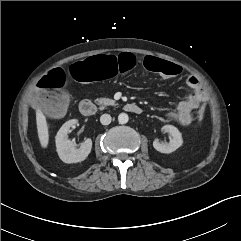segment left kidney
<instances>
[{"label":"left kidney","mask_w":241,"mask_h":241,"mask_svg":"<svg viewBox=\"0 0 241 241\" xmlns=\"http://www.w3.org/2000/svg\"><path fill=\"white\" fill-rule=\"evenodd\" d=\"M162 130L164 132L169 133L172 138L170 139L169 143H163L160 142L158 139H155L153 141V147L161 152V153H172L174 152L176 149H178L182 144H183V139H182V134L180 133V131L173 125H164L162 127Z\"/></svg>","instance_id":"5707ae66"}]
</instances>
